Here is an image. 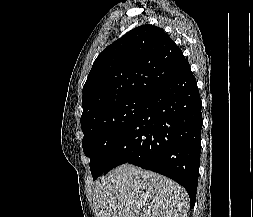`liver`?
Instances as JSON below:
<instances>
[{
	"instance_id": "6515ba94",
	"label": "liver",
	"mask_w": 253,
	"mask_h": 217,
	"mask_svg": "<svg viewBox=\"0 0 253 217\" xmlns=\"http://www.w3.org/2000/svg\"><path fill=\"white\" fill-rule=\"evenodd\" d=\"M188 194L179 184L132 164L96 181L97 217H187Z\"/></svg>"
}]
</instances>
